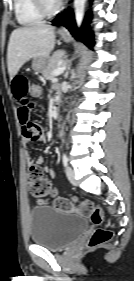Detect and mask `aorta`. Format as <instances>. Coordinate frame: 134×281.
Listing matches in <instances>:
<instances>
[{
	"instance_id": "aorta-1",
	"label": "aorta",
	"mask_w": 134,
	"mask_h": 281,
	"mask_svg": "<svg viewBox=\"0 0 134 281\" xmlns=\"http://www.w3.org/2000/svg\"><path fill=\"white\" fill-rule=\"evenodd\" d=\"M86 0H75L74 1V8H75V19L78 26L81 25L84 15V8H85Z\"/></svg>"
}]
</instances>
